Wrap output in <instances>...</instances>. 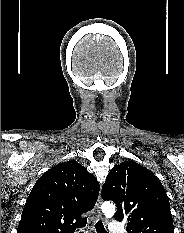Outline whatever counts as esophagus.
Instances as JSON below:
<instances>
[{"label": "esophagus", "instance_id": "1", "mask_svg": "<svg viewBox=\"0 0 184 233\" xmlns=\"http://www.w3.org/2000/svg\"><path fill=\"white\" fill-rule=\"evenodd\" d=\"M102 199L101 196L99 195L98 200L95 204V210L97 212V218H101V211H100V205H101Z\"/></svg>", "mask_w": 184, "mask_h": 233}]
</instances>
